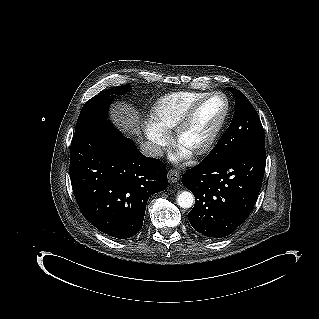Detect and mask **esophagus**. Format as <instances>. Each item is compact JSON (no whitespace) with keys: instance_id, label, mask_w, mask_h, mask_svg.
Listing matches in <instances>:
<instances>
[{"instance_id":"1","label":"esophagus","mask_w":319,"mask_h":319,"mask_svg":"<svg viewBox=\"0 0 319 319\" xmlns=\"http://www.w3.org/2000/svg\"><path fill=\"white\" fill-rule=\"evenodd\" d=\"M180 178L179 171L177 169H171L168 171V180L170 183H176Z\"/></svg>"}]
</instances>
